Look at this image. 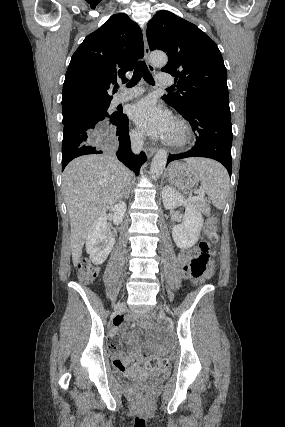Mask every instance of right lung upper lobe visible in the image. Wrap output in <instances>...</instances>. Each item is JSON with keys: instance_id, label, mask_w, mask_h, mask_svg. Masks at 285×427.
<instances>
[{"instance_id": "cb5924a9", "label": "right lung upper lobe", "mask_w": 285, "mask_h": 427, "mask_svg": "<svg viewBox=\"0 0 285 427\" xmlns=\"http://www.w3.org/2000/svg\"><path fill=\"white\" fill-rule=\"evenodd\" d=\"M143 52L139 26L126 14L112 15L84 39L71 58L63 84V116L111 102L113 84L125 79Z\"/></svg>"}]
</instances>
